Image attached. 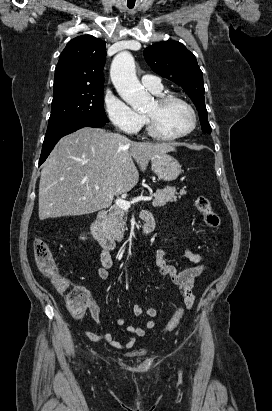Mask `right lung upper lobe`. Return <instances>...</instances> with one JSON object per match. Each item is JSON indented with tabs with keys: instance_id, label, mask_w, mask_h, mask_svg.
I'll use <instances>...</instances> for the list:
<instances>
[{
	"instance_id": "obj_1",
	"label": "right lung upper lobe",
	"mask_w": 272,
	"mask_h": 411,
	"mask_svg": "<svg viewBox=\"0 0 272 411\" xmlns=\"http://www.w3.org/2000/svg\"><path fill=\"white\" fill-rule=\"evenodd\" d=\"M105 42L92 35L72 39L62 51L55 69L54 92L104 83Z\"/></svg>"
}]
</instances>
